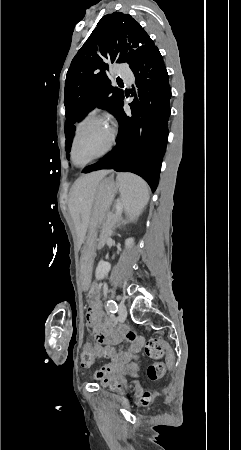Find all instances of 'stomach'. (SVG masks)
I'll return each instance as SVG.
<instances>
[{"mask_svg": "<svg viewBox=\"0 0 241 450\" xmlns=\"http://www.w3.org/2000/svg\"><path fill=\"white\" fill-rule=\"evenodd\" d=\"M118 187V183L112 178H103L98 184L93 201L89 233L80 260V286L83 290L87 289L90 284L93 259L98 242V230L106 220L107 211L117 193Z\"/></svg>", "mask_w": 241, "mask_h": 450, "instance_id": "stomach-1", "label": "stomach"}]
</instances>
